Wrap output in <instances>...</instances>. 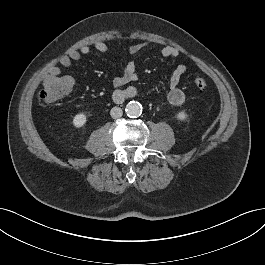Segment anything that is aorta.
I'll list each match as a JSON object with an SVG mask.
<instances>
[{"label": "aorta", "instance_id": "762f6f07", "mask_svg": "<svg viewBox=\"0 0 265 265\" xmlns=\"http://www.w3.org/2000/svg\"><path fill=\"white\" fill-rule=\"evenodd\" d=\"M125 112L129 117H138L142 113V106L139 102L131 101L126 105Z\"/></svg>", "mask_w": 265, "mask_h": 265}]
</instances>
